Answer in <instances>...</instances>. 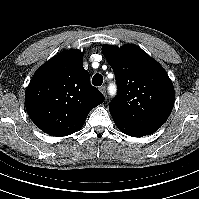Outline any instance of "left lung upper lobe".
<instances>
[{
    "label": "left lung upper lobe",
    "instance_id": "left-lung-upper-lobe-1",
    "mask_svg": "<svg viewBox=\"0 0 199 199\" xmlns=\"http://www.w3.org/2000/svg\"><path fill=\"white\" fill-rule=\"evenodd\" d=\"M113 68L118 94L110 103L113 120L150 135L168 119L175 92L164 68L140 47L103 45Z\"/></svg>",
    "mask_w": 199,
    "mask_h": 199
}]
</instances>
